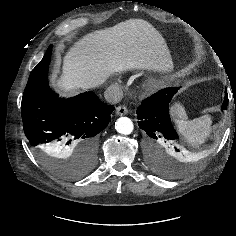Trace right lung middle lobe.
Returning <instances> with one entry per match:
<instances>
[{
	"mask_svg": "<svg viewBox=\"0 0 236 236\" xmlns=\"http://www.w3.org/2000/svg\"><path fill=\"white\" fill-rule=\"evenodd\" d=\"M36 153L41 161V163L51 172L66 178H78L86 174L93 166L94 163L86 162L80 160L79 162H74L69 160L67 162H62L55 159L47 154V152L36 149Z\"/></svg>",
	"mask_w": 236,
	"mask_h": 236,
	"instance_id": "dd1d6c3e",
	"label": "right lung middle lobe"
}]
</instances>
